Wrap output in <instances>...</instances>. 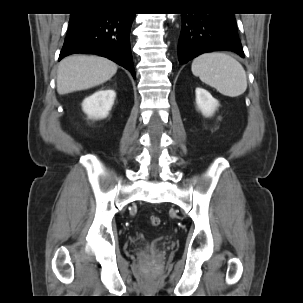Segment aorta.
<instances>
[{"instance_id":"1","label":"aorta","mask_w":303,"mask_h":303,"mask_svg":"<svg viewBox=\"0 0 303 303\" xmlns=\"http://www.w3.org/2000/svg\"><path fill=\"white\" fill-rule=\"evenodd\" d=\"M173 15H174V14H170V18H173Z\"/></svg>"}]
</instances>
